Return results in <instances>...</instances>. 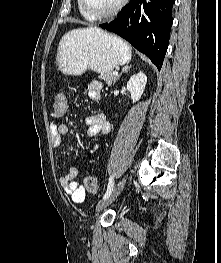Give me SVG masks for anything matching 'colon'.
Instances as JSON below:
<instances>
[{
    "label": "colon",
    "mask_w": 221,
    "mask_h": 263,
    "mask_svg": "<svg viewBox=\"0 0 221 263\" xmlns=\"http://www.w3.org/2000/svg\"><path fill=\"white\" fill-rule=\"evenodd\" d=\"M67 110V97L65 93H58L52 101V113L54 116L60 117L66 113ZM85 190L90 194H98L99 186L98 180L95 175H88L84 179Z\"/></svg>",
    "instance_id": "5ec220e1"
}]
</instances>
